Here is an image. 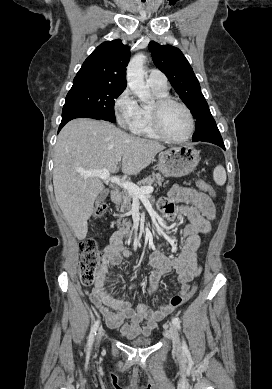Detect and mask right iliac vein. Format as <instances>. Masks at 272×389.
<instances>
[{"instance_id":"right-iliac-vein-1","label":"right iliac vein","mask_w":272,"mask_h":389,"mask_svg":"<svg viewBox=\"0 0 272 389\" xmlns=\"http://www.w3.org/2000/svg\"><path fill=\"white\" fill-rule=\"evenodd\" d=\"M102 336H103V329L100 328V329H99V332H98V335H97V343L100 342Z\"/></svg>"}]
</instances>
